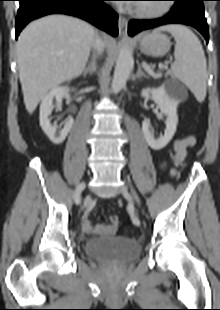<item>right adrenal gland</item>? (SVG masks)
Masks as SVG:
<instances>
[{
    "instance_id": "1",
    "label": "right adrenal gland",
    "mask_w": 220,
    "mask_h": 310,
    "mask_svg": "<svg viewBox=\"0 0 220 310\" xmlns=\"http://www.w3.org/2000/svg\"><path fill=\"white\" fill-rule=\"evenodd\" d=\"M96 70H97L96 56L93 54L91 56V60H90L89 65L83 71V76L86 77L87 74L92 75Z\"/></svg>"
}]
</instances>
